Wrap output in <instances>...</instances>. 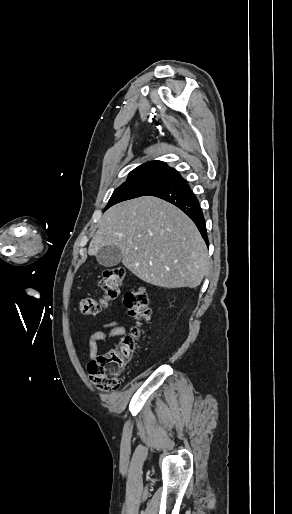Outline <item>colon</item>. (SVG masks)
I'll list each match as a JSON object with an SVG mask.
<instances>
[{
    "mask_svg": "<svg viewBox=\"0 0 292 514\" xmlns=\"http://www.w3.org/2000/svg\"><path fill=\"white\" fill-rule=\"evenodd\" d=\"M123 268L105 270L99 278L101 293L98 297L84 296L79 307L83 316H95L109 301L116 298L123 287ZM125 305L136 322L133 332L122 338L119 347H112L88 363V375L94 386L103 392H115L119 377L131 359L139 338V326L151 317L150 294L146 287H134L125 296Z\"/></svg>",
    "mask_w": 292,
    "mask_h": 514,
    "instance_id": "obj_1",
    "label": "colon"
}]
</instances>
